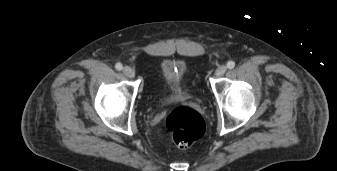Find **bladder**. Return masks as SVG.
Wrapping results in <instances>:
<instances>
[{
    "mask_svg": "<svg viewBox=\"0 0 337 171\" xmlns=\"http://www.w3.org/2000/svg\"><path fill=\"white\" fill-rule=\"evenodd\" d=\"M163 95L160 98L162 103L182 101L188 97L184 88L186 75V65L179 61H164L159 68Z\"/></svg>",
    "mask_w": 337,
    "mask_h": 171,
    "instance_id": "obj_1",
    "label": "bladder"
}]
</instances>
